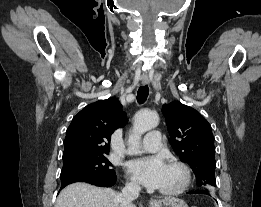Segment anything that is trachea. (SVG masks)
I'll return each mask as SVG.
<instances>
[{"instance_id": "trachea-1", "label": "trachea", "mask_w": 261, "mask_h": 207, "mask_svg": "<svg viewBox=\"0 0 261 207\" xmlns=\"http://www.w3.org/2000/svg\"><path fill=\"white\" fill-rule=\"evenodd\" d=\"M148 92H149L148 85L141 86L138 89V92H137V102L139 104H142V103H144L146 101V99L148 97Z\"/></svg>"}]
</instances>
